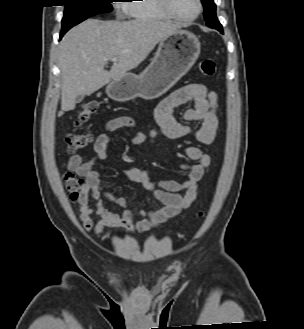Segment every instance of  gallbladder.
Masks as SVG:
<instances>
[{
    "label": "gallbladder",
    "mask_w": 304,
    "mask_h": 329,
    "mask_svg": "<svg viewBox=\"0 0 304 329\" xmlns=\"http://www.w3.org/2000/svg\"><path fill=\"white\" fill-rule=\"evenodd\" d=\"M83 95H78L77 97H76V103H79V102H81L82 100H83Z\"/></svg>",
    "instance_id": "gallbladder-1"
}]
</instances>
